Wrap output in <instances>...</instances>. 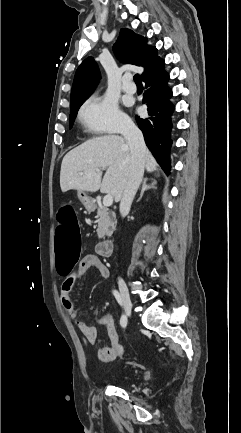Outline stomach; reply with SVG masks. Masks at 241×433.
<instances>
[{
	"mask_svg": "<svg viewBox=\"0 0 241 433\" xmlns=\"http://www.w3.org/2000/svg\"><path fill=\"white\" fill-rule=\"evenodd\" d=\"M77 196L81 201V203L83 204V206L85 207V209H87L88 211L93 209L92 199L85 192L78 191Z\"/></svg>",
	"mask_w": 241,
	"mask_h": 433,
	"instance_id": "obj_1",
	"label": "stomach"
}]
</instances>
